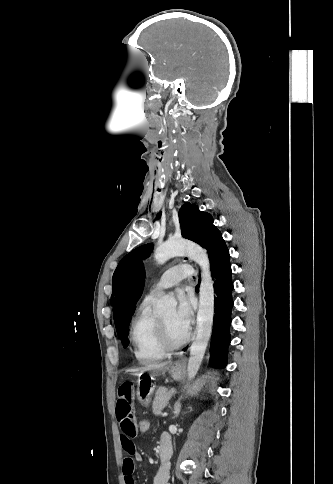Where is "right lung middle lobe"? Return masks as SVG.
<instances>
[{
  "instance_id": "right-lung-middle-lobe-1",
  "label": "right lung middle lobe",
  "mask_w": 333,
  "mask_h": 484,
  "mask_svg": "<svg viewBox=\"0 0 333 484\" xmlns=\"http://www.w3.org/2000/svg\"><path fill=\"white\" fill-rule=\"evenodd\" d=\"M129 322H130V319H128L124 323V325H123V327H122V329H121V331L119 333V338L122 340V343H123L124 348H126L128 346V344H129V341L127 339L128 331H129V329H128Z\"/></svg>"
}]
</instances>
